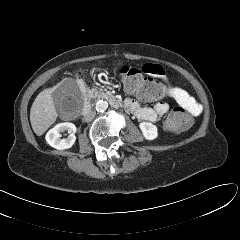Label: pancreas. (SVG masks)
I'll list each match as a JSON object with an SVG mask.
<instances>
[{"label": "pancreas", "instance_id": "cf45deb5", "mask_svg": "<svg viewBox=\"0 0 240 240\" xmlns=\"http://www.w3.org/2000/svg\"><path fill=\"white\" fill-rule=\"evenodd\" d=\"M86 95L88 98H92V97H100L105 94L101 91H98L97 89H91L87 91Z\"/></svg>", "mask_w": 240, "mask_h": 240}]
</instances>
